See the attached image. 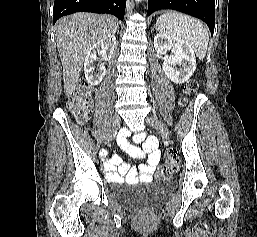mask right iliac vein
Masks as SVG:
<instances>
[{
    "label": "right iliac vein",
    "mask_w": 257,
    "mask_h": 237,
    "mask_svg": "<svg viewBox=\"0 0 257 237\" xmlns=\"http://www.w3.org/2000/svg\"><path fill=\"white\" fill-rule=\"evenodd\" d=\"M119 126H120V118H119V116H114L112 118L110 126L108 127L107 132L105 134V138H104L105 144H108L112 140V138H113L114 134L117 132V129L119 128Z\"/></svg>",
    "instance_id": "63e3f726"
}]
</instances>
